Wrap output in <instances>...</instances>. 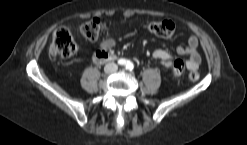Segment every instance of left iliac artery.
<instances>
[{"mask_svg":"<svg viewBox=\"0 0 247 145\" xmlns=\"http://www.w3.org/2000/svg\"><path fill=\"white\" fill-rule=\"evenodd\" d=\"M126 68H127L128 70H132V69H133V63L130 62V61H127Z\"/></svg>","mask_w":247,"mask_h":145,"instance_id":"1","label":"left iliac artery"}]
</instances>
